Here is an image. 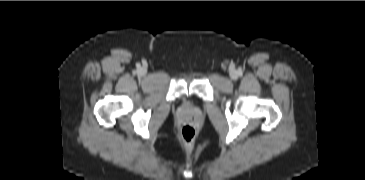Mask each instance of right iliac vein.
<instances>
[{
    "mask_svg": "<svg viewBox=\"0 0 365 180\" xmlns=\"http://www.w3.org/2000/svg\"><path fill=\"white\" fill-rule=\"evenodd\" d=\"M140 71H141L142 74H145L146 73V69L145 68H142Z\"/></svg>",
    "mask_w": 365,
    "mask_h": 180,
    "instance_id": "1",
    "label": "right iliac vein"
}]
</instances>
